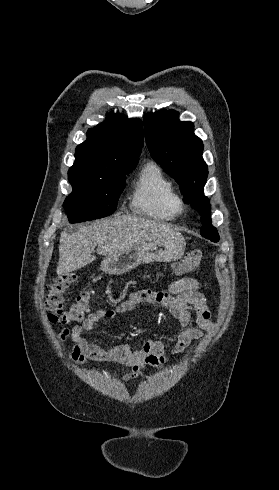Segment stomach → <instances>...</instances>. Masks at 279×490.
<instances>
[{
	"label": "stomach",
	"mask_w": 279,
	"mask_h": 490,
	"mask_svg": "<svg viewBox=\"0 0 279 490\" xmlns=\"http://www.w3.org/2000/svg\"><path fill=\"white\" fill-rule=\"evenodd\" d=\"M185 252V240L183 236L172 238H160L152 242H144L138 248H130L116 256H106L101 262L100 270L114 276H121L131 272L140 264L151 262H177L181 260Z\"/></svg>",
	"instance_id": "obj_1"
}]
</instances>
